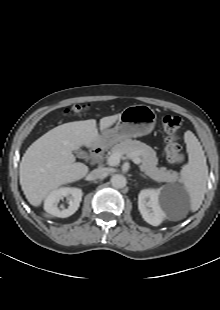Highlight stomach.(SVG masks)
I'll use <instances>...</instances> for the list:
<instances>
[{"instance_id": "0dacf381", "label": "stomach", "mask_w": 220, "mask_h": 310, "mask_svg": "<svg viewBox=\"0 0 220 310\" xmlns=\"http://www.w3.org/2000/svg\"><path fill=\"white\" fill-rule=\"evenodd\" d=\"M156 113L147 105L126 107L119 115L116 125L102 132L101 143L111 145L127 138H136L152 132Z\"/></svg>"}]
</instances>
